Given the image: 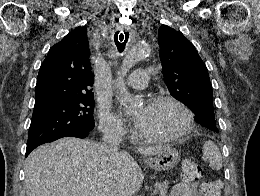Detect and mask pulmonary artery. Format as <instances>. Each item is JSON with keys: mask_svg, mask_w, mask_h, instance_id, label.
Returning <instances> with one entry per match:
<instances>
[{"mask_svg": "<svg viewBox=\"0 0 260 196\" xmlns=\"http://www.w3.org/2000/svg\"><path fill=\"white\" fill-rule=\"evenodd\" d=\"M150 69H135V74H132V79H121V84H138L126 85V90H143L146 81H150Z\"/></svg>", "mask_w": 260, "mask_h": 196, "instance_id": "1", "label": "pulmonary artery"}]
</instances>
